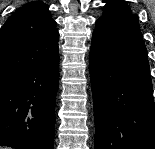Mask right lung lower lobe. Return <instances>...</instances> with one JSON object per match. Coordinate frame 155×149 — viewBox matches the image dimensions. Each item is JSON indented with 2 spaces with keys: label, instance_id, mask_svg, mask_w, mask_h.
<instances>
[{
  "label": "right lung lower lobe",
  "instance_id": "98d812e1",
  "mask_svg": "<svg viewBox=\"0 0 155 149\" xmlns=\"http://www.w3.org/2000/svg\"><path fill=\"white\" fill-rule=\"evenodd\" d=\"M59 56L0 81V146L53 149Z\"/></svg>",
  "mask_w": 155,
  "mask_h": 149
}]
</instances>
